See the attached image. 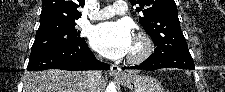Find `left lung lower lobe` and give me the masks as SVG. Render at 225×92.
<instances>
[{
    "instance_id": "1",
    "label": "left lung lower lobe",
    "mask_w": 225,
    "mask_h": 92,
    "mask_svg": "<svg viewBox=\"0 0 225 92\" xmlns=\"http://www.w3.org/2000/svg\"><path fill=\"white\" fill-rule=\"evenodd\" d=\"M194 69V62L189 52L153 53L140 65L123 67V69L157 70L161 68Z\"/></svg>"
}]
</instances>
